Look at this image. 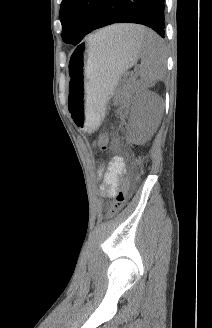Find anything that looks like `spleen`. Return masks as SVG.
<instances>
[{"label":"spleen","mask_w":212,"mask_h":328,"mask_svg":"<svg viewBox=\"0 0 212 328\" xmlns=\"http://www.w3.org/2000/svg\"><path fill=\"white\" fill-rule=\"evenodd\" d=\"M134 34L140 46L142 61L139 74L142 87H152L163 78L166 61L164 44L156 33L142 26H135ZM89 40L98 42L95 36L90 37Z\"/></svg>","instance_id":"1"}]
</instances>
